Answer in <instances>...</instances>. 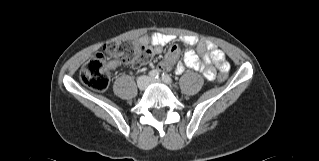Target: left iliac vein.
Instances as JSON below:
<instances>
[{
    "label": "left iliac vein",
    "instance_id": "obj_1",
    "mask_svg": "<svg viewBox=\"0 0 319 161\" xmlns=\"http://www.w3.org/2000/svg\"><path fill=\"white\" fill-rule=\"evenodd\" d=\"M150 82H151V83H154V82H160V80L152 79Z\"/></svg>",
    "mask_w": 319,
    "mask_h": 161
}]
</instances>
